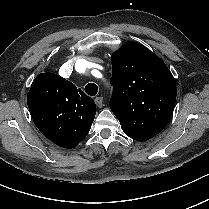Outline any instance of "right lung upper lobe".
I'll list each match as a JSON object with an SVG mask.
<instances>
[{"mask_svg":"<svg viewBox=\"0 0 209 209\" xmlns=\"http://www.w3.org/2000/svg\"><path fill=\"white\" fill-rule=\"evenodd\" d=\"M27 104L40 132L63 148L76 147L87 136L96 114L90 97L54 73L35 78Z\"/></svg>","mask_w":209,"mask_h":209,"instance_id":"right-lung-upper-lobe-1","label":"right lung upper lobe"}]
</instances>
